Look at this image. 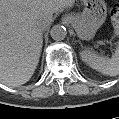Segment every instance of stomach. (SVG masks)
<instances>
[{
  "mask_svg": "<svg viewBox=\"0 0 119 119\" xmlns=\"http://www.w3.org/2000/svg\"><path fill=\"white\" fill-rule=\"evenodd\" d=\"M84 9L80 15L70 19V24L82 40H90L105 22L106 4L103 0H81Z\"/></svg>",
  "mask_w": 119,
  "mask_h": 119,
  "instance_id": "1",
  "label": "stomach"
}]
</instances>
